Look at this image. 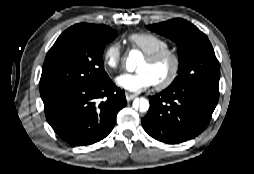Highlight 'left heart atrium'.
<instances>
[{
  "label": "left heart atrium",
  "instance_id": "39dd6f15",
  "mask_svg": "<svg viewBox=\"0 0 254 174\" xmlns=\"http://www.w3.org/2000/svg\"><path fill=\"white\" fill-rule=\"evenodd\" d=\"M116 83L121 88L130 92H140L154 85L153 79L145 71L124 73L116 78Z\"/></svg>",
  "mask_w": 254,
  "mask_h": 174
}]
</instances>
